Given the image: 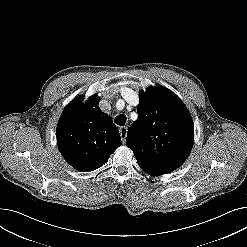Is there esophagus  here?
I'll list each match as a JSON object with an SVG mask.
<instances>
[{"label":"esophagus","mask_w":247,"mask_h":247,"mask_svg":"<svg viewBox=\"0 0 247 247\" xmlns=\"http://www.w3.org/2000/svg\"><path fill=\"white\" fill-rule=\"evenodd\" d=\"M127 131H128L127 126H122L119 128V132H120V136H121V140L123 144L126 141Z\"/></svg>","instance_id":"obj_1"}]
</instances>
